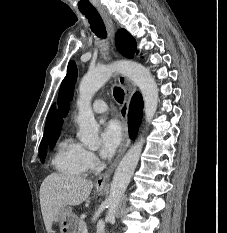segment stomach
<instances>
[{
    "mask_svg": "<svg viewBox=\"0 0 227 233\" xmlns=\"http://www.w3.org/2000/svg\"><path fill=\"white\" fill-rule=\"evenodd\" d=\"M96 191L99 194L104 192V188H96ZM53 223H57L60 227L61 233H76L77 226H78V218L72 212L71 207H66L59 215H57Z\"/></svg>",
    "mask_w": 227,
    "mask_h": 233,
    "instance_id": "stomach-1",
    "label": "stomach"
}]
</instances>
